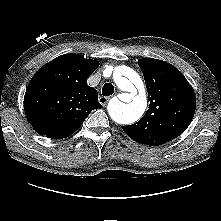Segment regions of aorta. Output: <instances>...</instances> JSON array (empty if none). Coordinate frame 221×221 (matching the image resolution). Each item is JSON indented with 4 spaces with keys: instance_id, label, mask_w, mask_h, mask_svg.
<instances>
[{
    "instance_id": "aorta-1",
    "label": "aorta",
    "mask_w": 221,
    "mask_h": 221,
    "mask_svg": "<svg viewBox=\"0 0 221 221\" xmlns=\"http://www.w3.org/2000/svg\"><path fill=\"white\" fill-rule=\"evenodd\" d=\"M117 87L125 92L126 102L113 99L108 104L110 117L119 124H129L137 121L145 112L147 98L140 76L131 68L126 66L117 67L113 74ZM139 93L136 95V88Z\"/></svg>"
}]
</instances>
